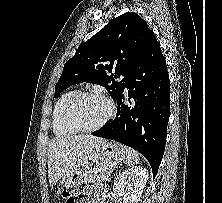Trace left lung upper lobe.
Here are the masks:
<instances>
[{
  "mask_svg": "<svg viewBox=\"0 0 222 203\" xmlns=\"http://www.w3.org/2000/svg\"><path fill=\"white\" fill-rule=\"evenodd\" d=\"M151 30L137 13H125L110 21L102 30L78 47L63 68L55 86V96L69 86L89 82L104 86L113 99L143 55ZM114 74L109 75L111 72ZM124 76L122 81L115 79Z\"/></svg>",
  "mask_w": 222,
  "mask_h": 203,
  "instance_id": "1",
  "label": "left lung upper lobe"
}]
</instances>
